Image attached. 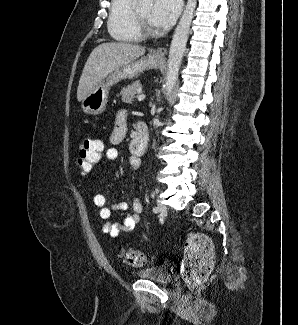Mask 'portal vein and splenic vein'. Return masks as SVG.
<instances>
[{
    "instance_id": "18ae733b",
    "label": "portal vein and splenic vein",
    "mask_w": 298,
    "mask_h": 325,
    "mask_svg": "<svg viewBox=\"0 0 298 325\" xmlns=\"http://www.w3.org/2000/svg\"><path fill=\"white\" fill-rule=\"evenodd\" d=\"M146 98L145 92H139V96H137V100H144Z\"/></svg>"
}]
</instances>
